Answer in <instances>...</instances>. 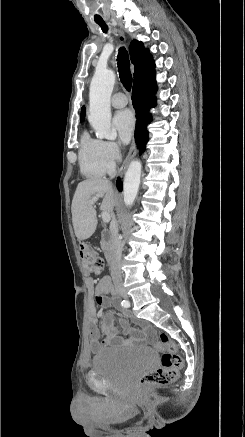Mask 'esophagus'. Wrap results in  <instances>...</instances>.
<instances>
[{
  "mask_svg": "<svg viewBox=\"0 0 245 437\" xmlns=\"http://www.w3.org/2000/svg\"><path fill=\"white\" fill-rule=\"evenodd\" d=\"M136 151H137L136 144L133 142L131 147H130V150H129V152H128V154H127V156H126V158H125V160H124V162H123V164H122V166H121V168L119 170V175H122L125 172V170L127 169L130 161L135 156Z\"/></svg>",
  "mask_w": 245,
  "mask_h": 437,
  "instance_id": "esophagus-1",
  "label": "esophagus"
}]
</instances>
